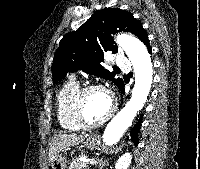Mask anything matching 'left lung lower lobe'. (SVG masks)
I'll return each instance as SVG.
<instances>
[{"label":"left lung lower lobe","mask_w":200,"mask_h":169,"mask_svg":"<svg viewBox=\"0 0 200 169\" xmlns=\"http://www.w3.org/2000/svg\"><path fill=\"white\" fill-rule=\"evenodd\" d=\"M144 44L147 46L149 52L151 53L152 49H151L149 41L148 40L145 41ZM118 88L122 91V93H124V82H122V84ZM141 121H142V117L140 118L139 122L130 132V138L135 144H138V129L140 128Z\"/></svg>","instance_id":"1"}]
</instances>
